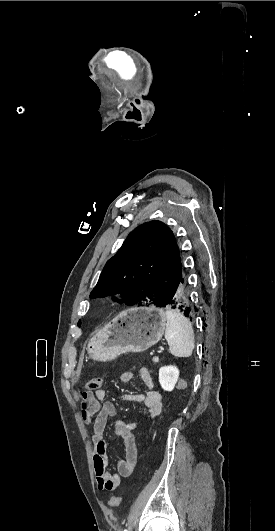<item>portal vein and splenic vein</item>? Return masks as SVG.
<instances>
[{"mask_svg":"<svg viewBox=\"0 0 275 531\" xmlns=\"http://www.w3.org/2000/svg\"><path fill=\"white\" fill-rule=\"evenodd\" d=\"M160 350H164V347H160Z\"/></svg>","mask_w":275,"mask_h":531,"instance_id":"1","label":"portal vein and splenic vein"}]
</instances>
